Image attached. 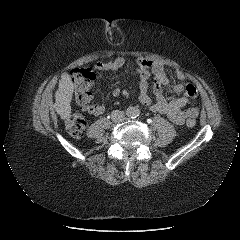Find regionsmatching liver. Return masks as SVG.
Here are the masks:
<instances>
[{"mask_svg":"<svg viewBox=\"0 0 240 240\" xmlns=\"http://www.w3.org/2000/svg\"><path fill=\"white\" fill-rule=\"evenodd\" d=\"M74 91L73 82L67 73L61 75L58 90L55 92L54 109L61 119H66L71 114V100Z\"/></svg>","mask_w":240,"mask_h":240,"instance_id":"obj_1","label":"liver"}]
</instances>
